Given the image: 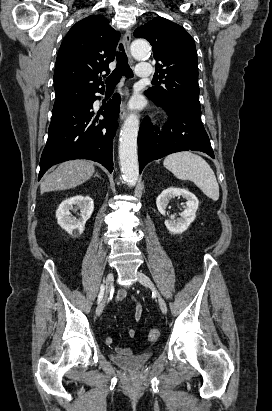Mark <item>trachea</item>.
I'll list each match as a JSON object with an SVG mask.
<instances>
[{
  "label": "trachea",
  "instance_id": "3493384b",
  "mask_svg": "<svg viewBox=\"0 0 272 411\" xmlns=\"http://www.w3.org/2000/svg\"><path fill=\"white\" fill-rule=\"evenodd\" d=\"M122 76L126 78L133 77V71L128 65L127 55L124 51L123 44L119 45V51L117 52V66L116 69L105 80L107 86H115Z\"/></svg>",
  "mask_w": 272,
  "mask_h": 411
}]
</instances>
